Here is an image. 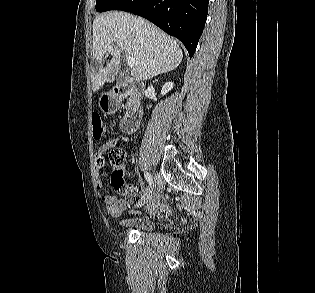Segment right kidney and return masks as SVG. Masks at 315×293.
<instances>
[{
    "label": "right kidney",
    "mask_w": 315,
    "mask_h": 293,
    "mask_svg": "<svg viewBox=\"0 0 315 293\" xmlns=\"http://www.w3.org/2000/svg\"><path fill=\"white\" fill-rule=\"evenodd\" d=\"M172 88H173V83L172 82L165 83L163 85V87H162L161 95L162 96L166 95Z\"/></svg>",
    "instance_id": "1"
}]
</instances>
